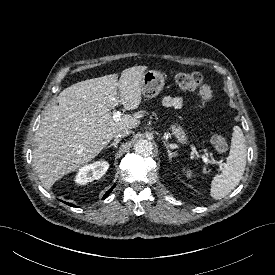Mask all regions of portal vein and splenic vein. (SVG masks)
I'll list each match as a JSON object with an SVG mask.
<instances>
[{
    "mask_svg": "<svg viewBox=\"0 0 275 275\" xmlns=\"http://www.w3.org/2000/svg\"><path fill=\"white\" fill-rule=\"evenodd\" d=\"M121 112L120 111H116L113 113V119L115 121H118L121 118ZM201 158L203 160V162L206 164V166L209 165V163H216V164H220L219 162L216 161H210L205 155H201Z\"/></svg>",
    "mask_w": 275,
    "mask_h": 275,
    "instance_id": "1",
    "label": "portal vein and splenic vein"
}]
</instances>
